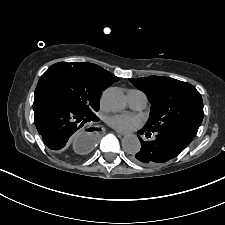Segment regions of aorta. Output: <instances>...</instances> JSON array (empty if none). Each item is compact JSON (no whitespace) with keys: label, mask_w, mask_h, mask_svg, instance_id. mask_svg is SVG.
Segmentation results:
<instances>
[{"label":"aorta","mask_w":225,"mask_h":225,"mask_svg":"<svg viewBox=\"0 0 225 225\" xmlns=\"http://www.w3.org/2000/svg\"><path fill=\"white\" fill-rule=\"evenodd\" d=\"M104 106L112 111L119 112L126 107V97L123 91L117 87H111L104 91L102 96ZM122 148L129 154L137 153L141 148V143L135 135H127L122 139Z\"/></svg>","instance_id":"obj_1"}]
</instances>
